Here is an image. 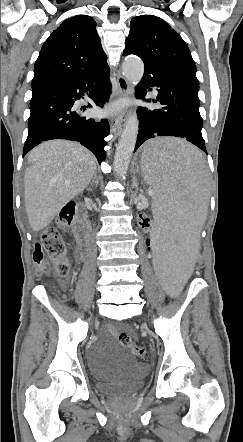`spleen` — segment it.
Listing matches in <instances>:
<instances>
[{"label":"spleen","mask_w":243,"mask_h":442,"mask_svg":"<svg viewBox=\"0 0 243 442\" xmlns=\"http://www.w3.org/2000/svg\"><path fill=\"white\" fill-rule=\"evenodd\" d=\"M138 178L152 184L156 233L151 252L162 291L178 296L188 280L206 214L207 170L203 154L178 138L149 141L140 155Z\"/></svg>","instance_id":"1"}]
</instances>
